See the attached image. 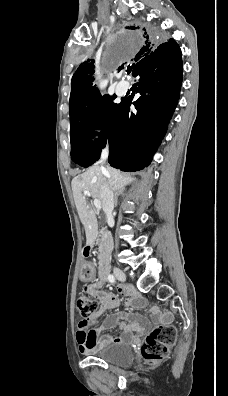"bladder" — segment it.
I'll return each instance as SVG.
<instances>
[{"mask_svg":"<svg viewBox=\"0 0 228 396\" xmlns=\"http://www.w3.org/2000/svg\"><path fill=\"white\" fill-rule=\"evenodd\" d=\"M93 356L113 365L127 366L134 361V352L127 343H111L97 348Z\"/></svg>","mask_w":228,"mask_h":396,"instance_id":"31cf9c89","label":"bladder"}]
</instances>
